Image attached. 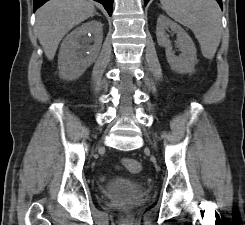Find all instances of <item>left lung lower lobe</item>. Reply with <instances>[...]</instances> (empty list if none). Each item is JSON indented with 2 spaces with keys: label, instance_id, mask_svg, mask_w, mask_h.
I'll use <instances>...</instances> for the list:
<instances>
[{
  "label": "left lung lower lobe",
  "instance_id": "obj_1",
  "mask_svg": "<svg viewBox=\"0 0 245 225\" xmlns=\"http://www.w3.org/2000/svg\"><path fill=\"white\" fill-rule=\"evenodd\" d=\"M216 1L219 3L220 7L222 8V0H216ZM148 2H149V0H144L145 5H146Z\"/></svg>",
  "mask_w": 245,
  "mask_h": 225
}]
</instances>
